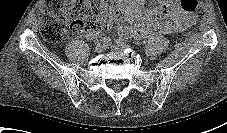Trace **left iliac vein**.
Here are the masks:
<instances>
[{"mask_svg":"<svg viewBox=\"0 0 227 133\" xmlns=\"http://www.w3.org/2000/svg\"><path fill=\"white\" fill-rule=\"evenodd\" d=\"M127 48H130V46L127 45L126 43L116 44V45L114 46V49L117 50V51H123V50H125V49H127Z\"/></svg>","mask_w":227,"mask_h":133,"instance_id":"obj_1","label":"left iliac vein"}]
</instances>
